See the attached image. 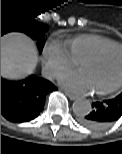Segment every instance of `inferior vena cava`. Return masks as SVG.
<instances>
[{"label":"inferior vena cava","mask_w":122,"mask_h":154,"mask_svg":"<svg viewBox=\"0 0 122 154\" xmlns=\"http://www.w3.org/2000/svg\"><path fill=\"white\" fill-rule=\"evenodd\" d=\"M54 73L52 70L48 69V68H43L42 69V76L46 79H52Z\"/></svg>","instance_id":"obj_1"}]
</instances>
